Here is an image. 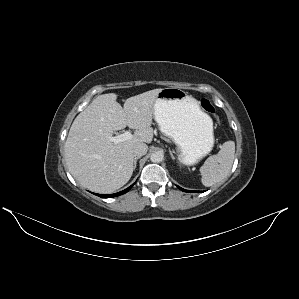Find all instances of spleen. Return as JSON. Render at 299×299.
Listing matches in <instances>:
<instances>
[{"mask_svg": "<svg viewBox=\"0 0 299 299\" xmlns=\"http://www.w3.org/2000/svg\"><path fill=\"white\" fill-rule=\"evenodd\" d=\"M235 158V142L226 141L220 151L210 156L200 168L201 182L210 187L224 180L229 174Z\"/></svg>", "mask_w": 299, "mask_h": 299, "instance_id": "3e777b00", "label": "spleen"}]
</instances>
